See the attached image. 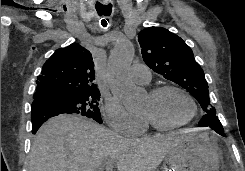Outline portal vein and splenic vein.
<instances>
[{"label":"portal vein and splenic vein","instance_id":"obj_1","mask_svg":"<svg viewBox=\"0 0 245 171\" xmlns=\"http://www.w3.org/2000/svg\"><path fill=\"white\" fill-rule=\"evenodd\" d=\"M113 165H114V161L113 160L107 161L106 164H105L106 171H112Z\"/></svg>","mask_w":245,"mask_h":171}]
</instances>
